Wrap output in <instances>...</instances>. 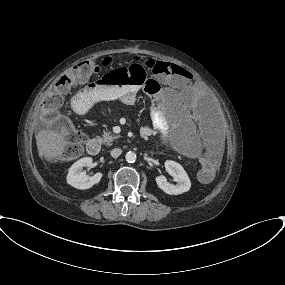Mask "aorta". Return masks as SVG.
<instances>
[{"mask_svg": "<svg viewBox=\"0 0 285 285\" xmlns=\"http://www.w3.org/2000/svg\"><path fill=\"white\" fill-rule=\"evenodd\" d=\"M125 159L128 163H134L136 161V154L132 151H129L126 153Z\"/></svg>", "mask_w": 285, "mask_h": 285, "instance_id": "aorta-1", "label": "aorta"}]
</instances>
